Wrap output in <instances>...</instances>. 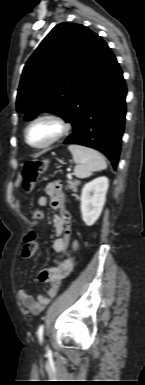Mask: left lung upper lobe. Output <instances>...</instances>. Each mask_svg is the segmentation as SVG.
<instances>
[{
	"label": "left lung upper lobe",
	"mask_w": 145,
	"mask_h": 385,
	"mask_svg": "<svg viewBox=\"0 0 145 385\" xmlns=\"http://www.w3.org/2000/svg\"><path fill=\"white\" fill-rule=\"evenodd\" d=\"M97 37L75 23H61L51 30L22 73L16 109L25 113V120L48 111L69 121Z\"/></svg>",
	"instance_id": "5c2ea615"
}]
</instances>
